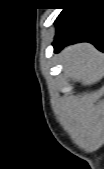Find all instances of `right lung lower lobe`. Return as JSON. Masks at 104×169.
<instances>
[{
    "label": "right lung lower lobe",
    "mask_w": 104,
    "mask_h": 169,
    "mask_svg": "<svg viewBox=\"0 0 104 169\" xmlns=\"http://www.w3.org/2000/svg\"><path fill=\"white\" fill-rule=\"evenodd\" d=\"M57 26L53 42L55 52L64 46L90 42L104 51V9L94 3L70 4L55 21Z\"/></svg>",
    "instance_id": "98d812e1"
}]
</instances>
